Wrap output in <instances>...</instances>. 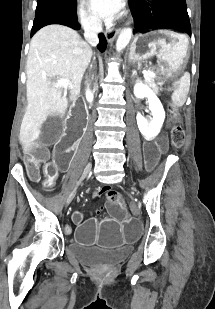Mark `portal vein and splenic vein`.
I'll use <instances>...</instances> for the list:
<instances>
[{
  "label": "portal vein and splenic vein",
  "mask_w": 215,
  "mask_h": 309,
  "mask_svg": "<svg viewBox=\"0 0 215 309\" xmlns=\"http://www.w3.org/2000/svg\"><path fill=\"white\" fill-rule=\"evenodd\" d=\"M144 76H148L147 70H142ZM70 84L69 78H58L57 82H54V86H68Z\"/></svg>",
  "instance_id": "obj_1"
}]
</instances>
